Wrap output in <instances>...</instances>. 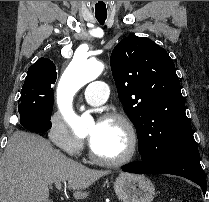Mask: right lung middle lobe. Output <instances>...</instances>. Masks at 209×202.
Listing matches in <instances>:
<instances>
[{"mask_svg": "<svg viewBox=\"0 0 209 202\" xmlns=\"http://www.w3.org/2000/svg\"><path fill=\"white\" fill-rule=\"evenodd\" d=\"M56 78V75H35L25 78L19 99L20 120L50 121L54 101L52 85Z\"/></svg>", "mask_w": 209, "mask_h": 202, "instance_id": "1", "label": "right lung middle lobe"}]
</instances>
